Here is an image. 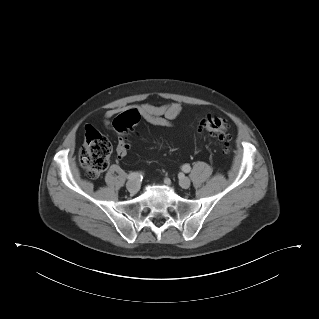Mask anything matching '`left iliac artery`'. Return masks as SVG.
Returning <instances> with one entry per match:
<instances>
[{
	"mask_svg": "<svg viewBox=\"0 0 319 319\" xmlns=\"http://www.w3.org/2000/svg\"><path fill=\"white\" fill-rule=\"evenodd\" d=\"M182 170H183L184 172L188 173V172H190L191 167H190L189 164H185V165L182 166Z\"/></svg>",
	"mask_w": 319,
	"mask_h": 319,
	"instance_id": "1",
	"label": "left iliac artery"
}]
</instances>
